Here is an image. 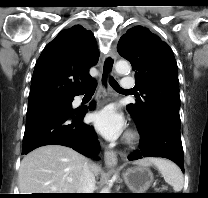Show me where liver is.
<instances>
[{"label": "liver", "instance_id": "liver-1", "mask_svg": "<svg viewBox=\"0 0 208 198\" xmlns=\"http://www.w3.org/2000/svg\"><path fill=\"white\" fill-rule=\"evenodd\" d=\"M87 158L73 149L61 145H46L26 155L18 174L21 194L76 193L79 179ZM135 164L145 167L154 164L153 159H142ZM98 175L100 166L92 164Z\"/></svg>", "mask_w": 208, "mask_h": 198}]
</instances>
